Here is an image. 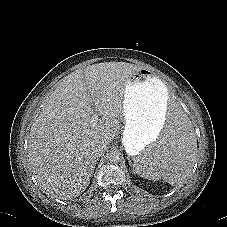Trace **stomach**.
I'll use <instances>...</instances> for the list:
<instances>
[{"label": "stomach", "instance_id": "1", "mask_svg": "<svg viewBox=\"0 0 227 227\" xmlns=\"http://www.w3.org/2000/svg\"><path fill=\"white\" fill-rule=\"evenodd\" d=\"M168 99L167 86L149 70L140 69L129 77L122 110V142L130 156L163 140Z\"/></svg>", "mask_w": 227, "mask_h": 227}]
</instances>
